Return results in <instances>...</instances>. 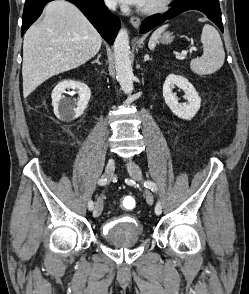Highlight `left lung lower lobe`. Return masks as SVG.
Here are the masks:
<instances>
[{
    "instance_id": "obj_1",
    "label": "left lung lower lobe",
    "mask_w": 249,
    "mask_h": 294,
    "mask_svg": "<svg viewBox=\"0 0 249 294\" xmlns=\"http://www.w3.org/2000/svg\"><path fill=\"white\" fill-rule=\"evenodd\" d=\"M187 10H199L203 12L223 32L219 0H175L173 7L164 14L146 18L141 24L140 33H146L165 20Z\"/></svg>"
}]
</instances>
